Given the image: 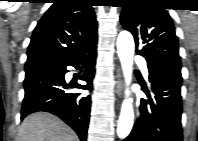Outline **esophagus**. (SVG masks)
Masks as SVG:
<instances>
[{
	"instance_id": "1",
	"label": "esophagus",
	"mask_w": 198,
	"mask_h": 141,
	"mask_svg": "<svg viewBox=\"0 0 198 141\" xmlns=\"http://www.w3.org/2000/svg\"><path fill=\"white\" fill-rule=\"evenodd\" d=\"M116 93L118 97H122V92H123V81H122V75H121V69L120 67L117 68V73H116Z\"/></svg>"
}]
</instances>
